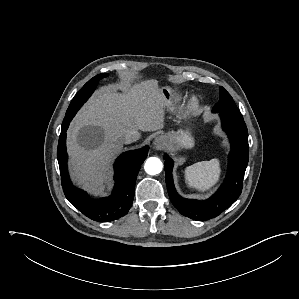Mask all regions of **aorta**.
Wrapping results in <instances>:
<instances>
[{
    "label": "aorta",
    "instance_id": "obj_1",
    "mask_svg": "<svg viewBox=\"0 0 299 299\" xmlns=\"http://www.w3.org/2000/svg\"><path fill=\"white\" fill-rule=\"evenodd\" d=\"M163 164L157 157H150L146 160L144 169L149 175H157L162 171Z\"/></svg>",
    "mask_w": 299,
    "mask_h": 299
}]
</instances>
